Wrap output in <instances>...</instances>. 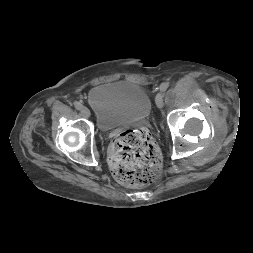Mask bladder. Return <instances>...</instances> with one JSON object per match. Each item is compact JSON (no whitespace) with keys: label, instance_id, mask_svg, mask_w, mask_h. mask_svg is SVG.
Returning a JSON list of instances; mask_svg holds the SVG:
<instances>
[{"label":"bladder","instance_id":"obj_1","mask_svg":"<svg viewBox=\"0 0 253 253\" xmlns=\"http://www.w3.org/2000/svg\"><path fill=\"white\" fill-rule=\"evenodd\" d=\"M88 102L98 125L104 129L145 119L152 110V101L145 88L128 81L94 87Z\"/></svg>","mask_w":253,"mask_h":253}]
</instances>
